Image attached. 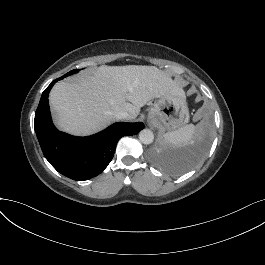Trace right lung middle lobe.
<instances>
[{"label": "right lung middle lobe", "instance_id": "obj_1", "mask_svg": "<svg viewBox=\"0 0 265 265\" xmlns=\"http://www.w3.org/2000/svg\"><path fill=\"white\" fill-rule=\"evenodd\" d=\"M76 72H78V70H77V69H75V70H72V71H70L69 73H67L65 76L71 75V74H73V73H76ZM63 77H64V76H63Z\"/></svg>", "mask_w": 265, "mask_h": 265}]
</instances>
